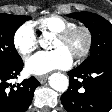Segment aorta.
<instances>
[{
  "instance_id": "1",
  "label": "aorta",
  "mask_w": 112,
  "mask_h": 112,
  "mask_svg": "<svg viewBox=\"0 0 112 112\" xmlns=\"http://www.w3.org/2000/svg\"><path fill=\"white\" fill-rule=\"evenodd\" d=\"M39 44L42 48H47L49 45V41L47 37H41L39 39ZM49 85L52 89L58 92H65L69 86V80L67 76L61 73H53L49 77Z\"/></svg>"
}]
</instances>
